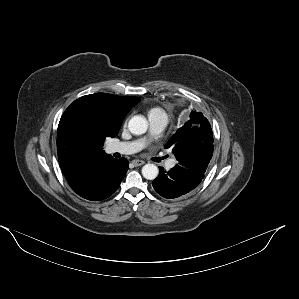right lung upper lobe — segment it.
<instances>
[{
  "mask_svg": "<svg viewBox=\"0 0 299 299\" xmlns=\"http://www.w3.org/2000/svg\"><path fill=\"white\" fill-rule=\"evenodd\" d=\"M139 100L96 93L80 97L65 110L58 125L57 152L68 181L79 177L91 161L110 156L103 151L105 139L118 134L124 117Z\"/></svg>",
  "mask_w": 299,
  "mask_h": 299,
  "instance_id": "obj_1",
  "label": "right lung upper lobe"
}]
</instances>
